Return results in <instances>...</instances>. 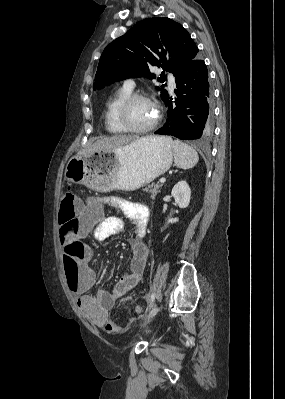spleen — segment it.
<instances>
[{
	"instance_id": "3e777b00",
	"label": "spleen",
	"mask_w": 285,
	"mask_h": 399,
	"mask_svg": "<svg viewBox=\"0 0 285 399\" xmlns=\"http://www.w3.org/2000/svg\"><path fill=\"white\" fill-rule=\"evenodd\" d=\"M174 152L175 165L181 169L193 168L199 161L198 154L195 149L180 140L170 139Z\"/></svg>"
}]
</instances>
